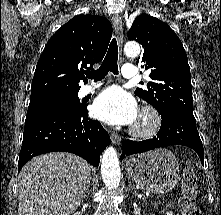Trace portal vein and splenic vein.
Segmentation results:
<instances>
[{
  "instance_id": "18ae733b",
  "label": "portal vein and splenic vein",
  "mask_w": 221,
  "mask_h": 215,
  "mask_svg": "<svg viewBox=\"0 0 221 215\" xmlns=\"http://www.w3.org/2000/svg\"><path fill=\"white\" fill-rule=\"evenodd\" d=\"M140 197H141V196H140ZM142 199H143V200H145V199H146V197H145V196H143V197H142Z\"/></svg>"
}]
</instances>
